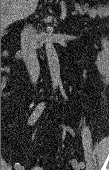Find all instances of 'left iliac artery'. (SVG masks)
Returning a JSON list of instances; mask_svg holds the SVG:
<instances>
[{
    "instance_id": "44dca946",
    "label": "left iliac artery",
    "mask_w": 109,
    "mask_h": 170,
    "mask_svg": "<svg viewBox=\"0 0 109 170\" xmlns=\"http://www.w3.org/2000/svg\"><path fill=\"white\" fill-rule=\"evenodd\" d=\"M64 128L74 135V132H73V130H72L70 127L64 126ZM80 165H81L83 168H84V166H85V164H84L83 161L80 162Z\"/></svg>"
}]
</instances>
